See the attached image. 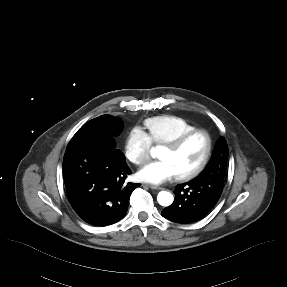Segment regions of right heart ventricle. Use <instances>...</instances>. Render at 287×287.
Here are the masks:
<instances>
[{
  "label": "right heart ventricle",
  "mask_w": 287,
  "mask_h": 287,
  "mask_svg": "<svg viewBox=\"0 0 287 287\" xmlns=\"http://www.w3.org/2000/svg\"><path fill=\"white\" fill-rule=\"evenodd\" d=\"M146 135L151 143L165 145L196 127L185 117L177 115H158L144 121Z\"/></svg>",
  "instance_id": "e07e8e85"
}]
</instances>
